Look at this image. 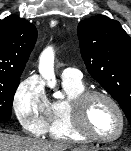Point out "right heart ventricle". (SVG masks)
Listing matches in <instances>:
<instances>
[{"label":"right heart ventricle","mask_w":131,"mask_h":151,"mask_svg":"<svg viewBox=\"0 0 131 151\" xmlns=\"http://www.w3.org/2000/svg\"><path fill=\"white\" fill-rule=\"evenodd\" d=\"M63 87L66 98L50 102L49 120L46 128L47 135L55 140L66 142H83L87 139L79 135L74 129L70 103L79 93L85 90L83 82L64 80Z\"/></svg>","instance_id":"1"}]
</instances>
